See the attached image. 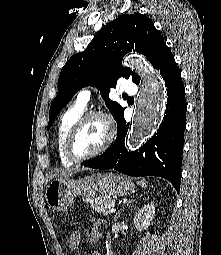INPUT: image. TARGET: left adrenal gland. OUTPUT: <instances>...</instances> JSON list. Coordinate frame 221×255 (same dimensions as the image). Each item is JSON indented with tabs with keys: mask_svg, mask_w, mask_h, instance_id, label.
Masks as SVG:
<instances>
[{
	"mask_svg": "<svg viewBox=\"0 0 221 255\" xmlns=\"http://www.w3.org/2000/svg\"><path fill=\"white\" fill-rule=\"evenodd\" d=\"M131 202H132V200L129 201V203H131ZM121 211H123V208H122L121 210H119V211L115 214V216H114V221H117L118 216H119V214H120Z\"/></svg>",
	"mask_w": 221,
	"mask_h": 255,
	"instance_id": "1",
	"label": "left adrenal gland"
}]
</instances>
